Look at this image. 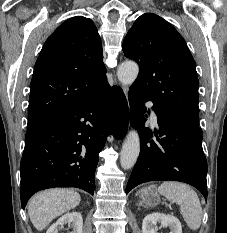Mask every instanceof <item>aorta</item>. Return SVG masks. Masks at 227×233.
<instances>
[{"instance_id":"1","label":"aorta","mask_w":227,"mask_h":233,"mask_svg":"<svg viewBox=\"0 0 227 233\" xmlns=\"http://www.w3.org/2000/svg\"><path fill=\"white\" fill-rule=\"evenodd\" d=\"M139 67L132 61L123 62L117 70L119 81L124 85H131L137 78ZM140 153V138L135 130L128 133L120 154V164L125 170L132 168Z\"/></svg>"}]
</instances>
